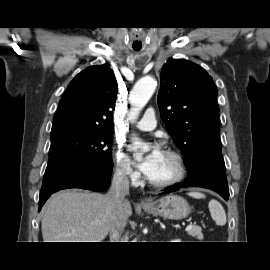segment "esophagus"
<instances>
[{
	"label": "esophagus",
	"instance_id": "34e87169",
	"mask_svg": "<svg viewBox=\"0 0 270 270\" xmlns=\"http://www.w3.org/2000/svg\"><path fill=\"white\" fill-rule=\"evenodd\" d=\"M140 204H141L142 206H148V205L151 204V202H150L149 200L143 199V200H141Z\"/></svg>",
	"mask_w": 270,
	"mask_h": 270
}]
</instances>
